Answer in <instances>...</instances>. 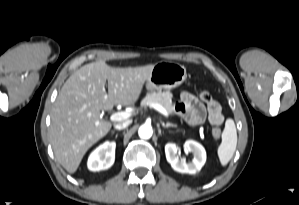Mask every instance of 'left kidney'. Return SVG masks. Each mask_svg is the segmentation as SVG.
<instances>
[{"mask_svg":"<svg viewBox=\"0 0 299 205\" xmlns=\"http://www.w3.org/2000/svg\"><path fill=\"white\" fill-rule=\"evenodd\" d=\"M184 148L188 152L193 153L194 158L191 162L187 163L185 160H179L176 156L178 147L174 143L166 144V159L175 171L179 173L195 174L197 171L201 170L206 162V151L200 143L194 140H187L184 143Z\"/></svg>","mask_w":299,"mask_h":205,"instance_id":"5707ae66","label":"left kidney"}]
</instances>
